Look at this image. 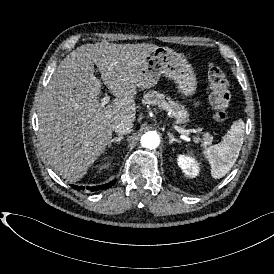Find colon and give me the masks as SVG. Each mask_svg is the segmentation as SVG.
<instances>
[{
    "label": "colon",
    "instance_id": "5ec220e1",
    "mask_svg": "<svg viewBox=\"0 0 274 274\" xmlns=\"http://www.w3.org/2000/svg\"><path fill=\"white\" fill-rule=\"evenodd\" d=\"M207 80L211 89L209 103L213 109V117L217 122L222 123L228 117L231 102V91L226 74L218 64L208 62Z\"/></svg>",
    "mask_w": 274,
    "mask_h": 274
}]
</instances>
